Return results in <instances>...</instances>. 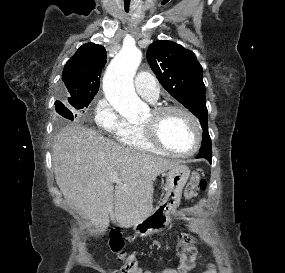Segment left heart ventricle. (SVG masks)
Instances as JSON below:
<instances>
[{"mask_svg": "<svg viewBox=\"0 0 285 273\" xmlns=\"http://www.w3.org/2000/svg\"><path fill=\"white\" fill-rule=\"evenodd\" d=\"M142 125L155 124L162 142L171 150L185 153L192 149L195 131L190 120L179 112H169L156 118L150 111Z\"/></svg>", "mask_w": 285, "mask_h": 273, "instance_id": "obj_1", "label": "left heart ventricle"}]
</instances>
